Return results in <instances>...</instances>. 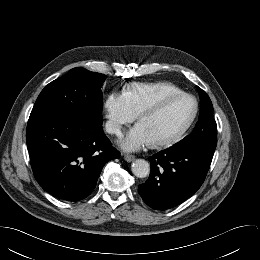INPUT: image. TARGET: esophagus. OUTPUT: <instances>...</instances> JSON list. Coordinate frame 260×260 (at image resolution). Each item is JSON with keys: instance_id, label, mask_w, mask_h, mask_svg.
I'll list each match as a JSON object with an SVG mask.
<instances>
[{"instance_id": "esophagus-1", "label": "esophagus", "mask_w": 260, "mask_h": 260, "mask_svg": "<svg viewBox=\"0 0 260 260\" xmlns=\"http://www.w3.org/2000/svg\"><path fill=\"white\" fill-rule=\"evenodd\" d=\"M124 159H125L127 162H132V161L135 160V156L126 154V155H124Z\"/></svg>"}]
</instances>
